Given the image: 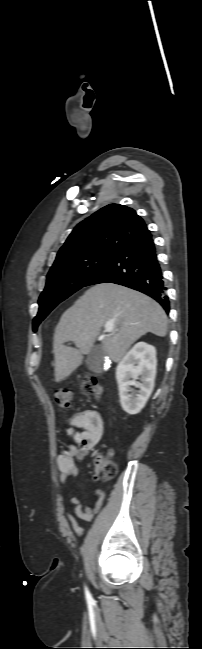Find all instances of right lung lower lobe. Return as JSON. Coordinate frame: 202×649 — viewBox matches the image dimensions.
<instances>
[{
  "instance_id": "right-lung-lower-lobe-1",
  "label": "right lung lower lobe",
  "mask_w": 202,
  "mask_h": 649,
  "mask_svg": "<svg viewBox=\"0 0 202 649\" xmlns=\"http://www.w3.org/2000/svg\"><path fill=\"white\" fill-rule=\"evenodd\" d=\"M116 283L155 299L169 313V299L156 248L149 232L104 264L85 284Z\"/></svg>"
}]
</instances>
